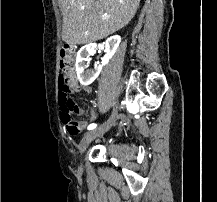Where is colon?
<instances>
[{"label": "colon", "mask_w": 217, "mask_h": 202, "mask_svg": "<svg viewBox=\"0 0 217 202\" xmlns=\"http://www.w3.org/2000/svg\"><path fill=\"white\" fill-rule=\"evenodd\" d=\"M72 51V47H61V70L56 74L57 78H65V81H68V78L74 77V59H71ZM71 91H73V82H58V96L61 97H56V102H62L60 111H65L59 112V117H65V120H62V125H66L69 133L77 135L82 132V128L74 119V113L78 111V107L71 97Z\"/></svg>", "instance_id": "obj_1"}]
</instances>
